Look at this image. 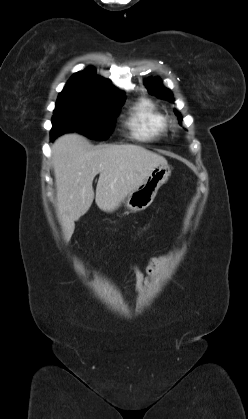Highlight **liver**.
Listing matches in <instances>:
<instances>
[{
	"label": "liver",
	"instance_id": "obj_1",
	"mask_svg": "<svg viewBox=\"0 0 248 419\" xmlns=\"http://www.w3.org/2000/svg\"><path fill=\"white\" fill-rule=\"evenodd\" d=\"M57 214L68 242L94 200L93 180L100 174L95 202L104 212L115 211L151 171L166 159L144 147L124 144L92 148L81 135L66 134L52 145Z\"/></svg>",
	"mask_w": 248,
	"mask_h": 419
}]
</instances>
